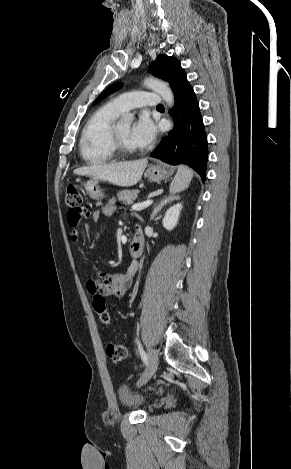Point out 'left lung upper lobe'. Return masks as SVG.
<instances>
[{"label":"left lung upper lobe","mask_w":291,"mask_h":469,"mask_svg":"<svg viewBox=\"0 0 291 469\" xmlns=\"http://www.w3.org/2000/svg\"><path fill=\"white\" fill-rule=\"evenodd\" d=\"M150 71L158 78L163 79L170 83L171 88L174 87L178 79L185 72L181 68L180 63L177 59L169 57L164 54H160L157 57L156 62L150 65ZM120 87V83L114 84L107 88L99 97L95 100L94 103L100 101L110 93L116 91Z\"/></svg>","instance_id":"5c2ea615"}]
</instances>
